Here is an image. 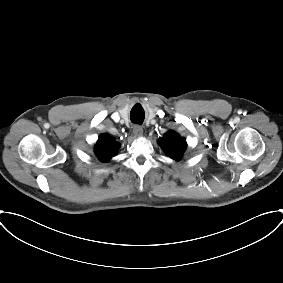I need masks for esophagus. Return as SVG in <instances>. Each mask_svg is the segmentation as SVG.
<instances>
[{
	"label": "esophagus",
	"instance_id": "34e87169",
	"mask_svg": "<svg viewBox=\"0 0 283 283\" xmlns=\"http://www.w3.org/2000/svg\"><path fill=\"white\" fill-rule=\"evenodd\" d=\"M133 133H134L135 136H137V137L142 136V134H143V129H142V127L139 126V125H135V126L133 127Z\"/></svg>",
	"mask_w": 283,
	"mask_h": 283
}]
</instances>
